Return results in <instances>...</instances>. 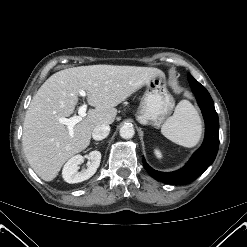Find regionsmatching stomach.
Returning <instances> with one entry per match:
<instances>
[{
	"label": "stomach",
	"instance_id": "stomach-1",
	"mask_svg": "<svg viewBox=\"0 0 247 247\" xmlns=\"http://www.w3.org/2000/svg\"><path fill=\"white\" fill-rule=\"evenodd\" d=\"M145 87L136 118L143 125L159 127L171 114L174 99L166 88V77L163 73L152 78Z\"/></svg>",
	"mask_w": 247,
	"mask_h": 247
}]
</instances>
